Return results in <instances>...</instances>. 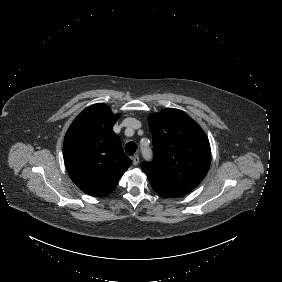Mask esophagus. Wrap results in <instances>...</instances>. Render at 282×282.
Segmentation results:
<instances>
[{"instance_id": "34e87169", "label": "esophagus", "mask_w": 282, "mask_h": 282, "mask_svg": "<svg viewBox=\"0 0 282 282\" xmlns=\"http://www.w3.org/2000/svg\"><path fill=\"white\" fill-rule=\"evenodd\" d=\"M138 163H139V156L138 155H134V157H133V164L134 165H138Z\"/></svg>"}]
</instances>
